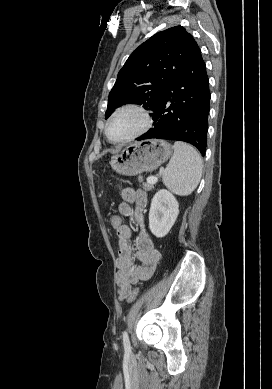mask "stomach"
I'll list each match as a JSON object with an SVG mask.
<instances>
[{
    "label": "stomach",
    "instance_id": "1",
    "mask_svg": "<svg viewBox=\"0 0 272 389\" xmlns=\"http://www.w3.org/2000/svg\"><path fill=\"white\" fill-rule=\"evenodd\" d=\"M172 146L160 139H149L127 146L112 156L111 167L120 175L135 176L151 172L167 161L173 153Z\"/></svg>",
    "mask_w": 272,
    "mask_h": 389
}]
</instances>
